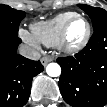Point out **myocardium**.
<instances>
[{"instance_id": "myocardium-1", "label": "myocardium", "mask_w": 107, "mask_h": 107, "mask_svg": "<svg viewBox=\"0 0 107 107\" xmlns=\"http://www.w3.org/2000/svg\"><path fill=\"white\" fill-rule=\"evenodd\" d=\"M76 19H81L85 22L86 31H85L84 36L82 37V39L78 43L72 44L69 42L68 32H69V28H70L71 24ZM91 32H92L91 24L88 21V19L86 17H84L83 15L75 14L65 24L56 45H57L58 49L60 51H62L63 53L75 54V53L81 51L86 46V44L88 43V41L91 37Z\"/></svg>"}]
</instances>
